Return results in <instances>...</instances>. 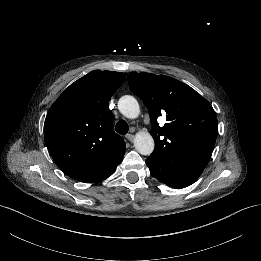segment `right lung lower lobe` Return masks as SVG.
I'll return each mask as SVG.
<instances>
[{"label":"right lung lower lobe","mask_w":261,"mask_h":261,"mask_svg":"<svg viewBox=\"0 0 261 261\" xmlns=\"http://www.w3.org/2000/svg\"><path fill=\"white\" fill-rule=\"evenodd\" d=\"M117 167V166H116ZM116 167L114 169H112L110 172L104 174L102 177H100L98 180H96L95 182H98V181H101V180H104L105 178L109 177L116 169ZM93 183V182H92Z\"/></svg>","instance_id":"right-lung-lower-lobe-1"}]
</instances>
